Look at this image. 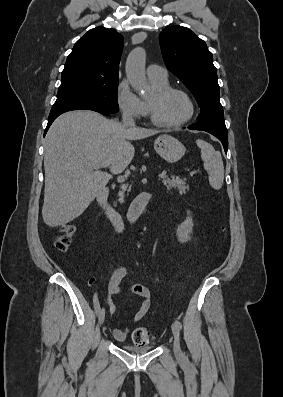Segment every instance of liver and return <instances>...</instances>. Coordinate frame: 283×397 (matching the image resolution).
I'll return each mask as SVG.
<instances>
[{
  "label": "liver",
  "instance_id": "6515ba94",
  "mask_svg": "<svg viewBox=\"0 0 283 397\" xmlns=\"http://www.w3.org/2000/svg\"><path fill=\"white\" fill-rule=\"evenodd\" d=\"M159 133L125 127L89 111H70L51 125L44 146L45 190L42 217L49 227L80 216L112 178L130 164L132 140ZM109 168L111 174L101 171Z\"/></svg>",
  "mask_w": 283,
  "mask_h": 397
}]
</instances>
